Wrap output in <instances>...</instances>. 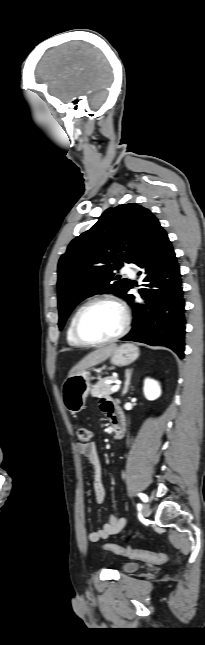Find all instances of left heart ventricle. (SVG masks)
I'll return each mask as SVG.
<instances>
[{
  "mask_svg": "<svg viewBox=\"0 0 205 645\" xmlns=\"http://www.w3.org/2000/svg\"><path fill=\"white\" fill-rule=\"evenodd\" d=\"M122 326L120 310L109 303L96 304L84 311L80 331L89 340H102L116 334Z\"/></svg>",
  "mask_w": 205,
  "mask_h": 645,
  "instance_id": "left-heart-ventricle-1",
  "label": "left heart ventricle"
}]
</instances>
